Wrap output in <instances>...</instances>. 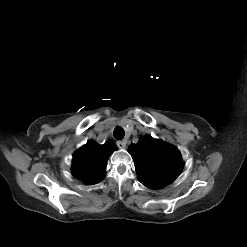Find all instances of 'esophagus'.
<instances>
[{
    "label": "esophagus",
    "instance_id": "34e87169",
    "mask_svg": "<svg viewBox=\"0 0 247 247\" xmlns=\"http://www.w3.org/2000/svg\"><path fill=\"white\" fill-rule=\"evenodd\" d=\"M117 146L121 149L125 148L126 147V141L125 140H119L117 141Z\"/></svg>",
    "mask_w": 247,
    "mask_h": 247
}]
</instances>
